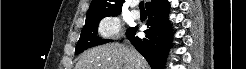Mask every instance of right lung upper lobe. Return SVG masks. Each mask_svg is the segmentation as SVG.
<instances>
[{"instance_id":"obj_1","label":"right lung upper lobe","mask_w":246,"mask_h":69,"mask_svg":"<svg viewBox=\"0 0 246 69\" xmlns=\"http://www.w3.org/2000/svg\"><path fill=\"white\" fill-rule=\"evenodd\" d=\"M155 0H152V3ZM124 0H92L87 12L86 21L115 16L120 14ZM146 3V7L150 4Z\"/></svg>"}]
</instances>
